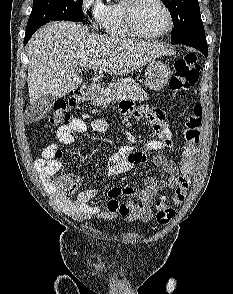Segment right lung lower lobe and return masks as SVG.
Returning <instances> with one entry per match:
<instances>
[{"instance_id":"obj_1","label":"right lung lower lobe","mask_w":233,"mask_h":294,"mask_svg":"<svg viewBox=\"0 0 233 294\" xmlns=\"http://www.w3.org/2000/svg\"><path fill=\"white\" fill-rule=\"evenodd\" d=\"M33 34V33H32ZM31 33H27L25 34V38H24V44H26V42L29 40V38L32 36Z\"/></svg>"}]
</instances>
